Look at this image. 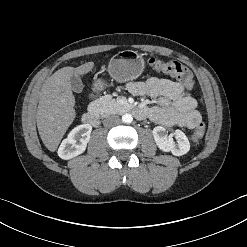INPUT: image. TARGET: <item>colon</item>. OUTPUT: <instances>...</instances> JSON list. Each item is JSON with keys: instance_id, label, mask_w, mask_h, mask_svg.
I'll return each mask as SVG.
<instances>
[{"instance_id": "colon-1", "label": "colon", "mask_w": 247, "mask_h": 247, "mask_svg": "<svg viewBox=\"0 0 247 247\" xmlns=\"http://www.w3.org/2000/svg\"><path fill=\"white\" fill-rule=\"evenodd\" d=\"M148 63L152 70L177 78L187 88H191L194 85V79L190 69L178 61H163L157 58H151ZM204 132V125L200 123L191 134L192 142L196 144L201 142Z\"/></svg>"}]
</instances>
